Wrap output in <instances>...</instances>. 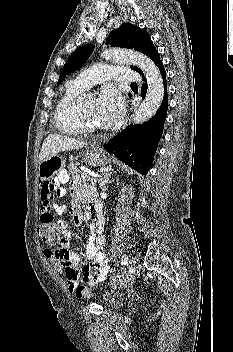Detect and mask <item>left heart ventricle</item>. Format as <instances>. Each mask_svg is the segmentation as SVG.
<instances>
[{
	"instance_id": "1",
	"label": "left heart ventricle",
	"mask_w": 233,
	"mask_h": 352,
	"mask_svg": "<svg viewBox=\"0 0 233 352\" xmlns=\"http://www.w3.org/2000/svg\"><path fill=\"white\" fill-rule=\"evenodd\" d=\"M82 108H83L86 116L88 117L89 121L96 126H100V124L96 118V114H95V108H96L95 101H88V102L84 103L82 105Z\"/></svg>"
}]
</instances>
